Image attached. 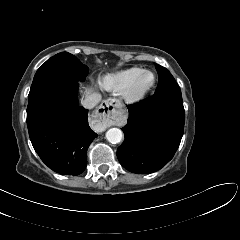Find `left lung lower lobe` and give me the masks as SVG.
Here are the masks:
<instances>
[{"label": "left lung lower lobe", "instance_id": "0a47b994", "mask_svg": "<svg viewBox=\"0 0 240 240\" xmlns=\"http://www.w3.org/2000/svg\"><path fill=\"white\" fill-rule=\"evenodd\" d=\"M127 107L125 139L117 149V158L132 173L155 172L173 158L183 136L181 92L157 93Z\"/></svg>", "mask_w": 240, "mask_h": 240}]
</instances>
